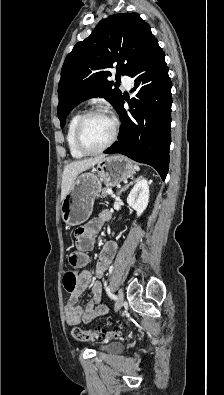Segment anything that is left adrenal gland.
<instances>
[{
  "mask_svg": "<svg viewBox=\"0 0 224 395\" xmlns=\"http://www.w3.org/2000/svg\"><path fill=\"white\" fill-rule=\"evenodd\" d=\"M140 178V177H139ZM138 178V179H139ZM138 179L130 182L129 184L125 185L122 189H120V191L118 192V195H120L123 191H125L130 185H132L135 181H137Z\"/></svg>",
  "mask_w": 224,
  "mask_h": 395,
  "instance_id": "a2214340",
  "label": "left adrenal gland"
}]
</instances>
